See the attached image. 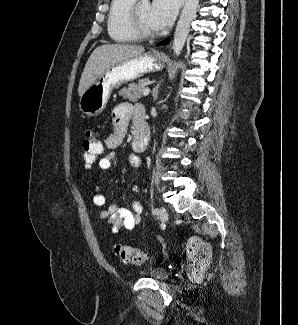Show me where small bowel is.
<instances>
[{
    "instance_id": "obj_1",
    "label": "small bowel",
    "mask_w": 298,
    "mask_h": 325,
    "mask_svg": "<svg viewBox=\"0 0 298 325\" xmlns=\"http://www.w3.org/2000/svg\"><path fill=\"white\" fill-rule=\"evenodd\" d=\"M132 115V108L127 103L118 105L112 114L113 131L104 140V146L107 149L106 154L98 161L100 170L111 169L117 160V148L126 136L129 121ZM129 163L134 168L141 166V158L136 154L129 156ZM138 191V186H134ZM93 203L100 208L99 216L106 219L112 233H117L121 229L132 230L140 222L143 211L142 204L139 201L132 203V209L121 207L117 204L106 206V199L100 191V187H95Z\"/></svg>"
}]
</instances>
